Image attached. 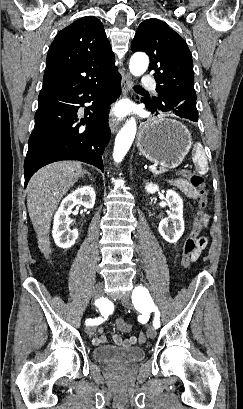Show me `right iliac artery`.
Here are the masks:
<instances>
[{
    "label": "right iliac artery",
    "instance_id": "right-iliac-artery-1",
    "mask_svg": "<svg viewBox=\"0 0 243 409\" xmlns=\"http://www.w3.org/2000/svg\"><path fill=\"white\" fill-rule=\"evenodd\" d=\"M95 304L96 305H100V301H96L95 302ZM102 315H103V313H102ZM103 322V318L102 317H98V318H95V319H87L86 321H85V323H86V325H99V324H101Z\"/></svg>",
    "mask_w": 243,
    "mask_h": 409
}]
</instances>
